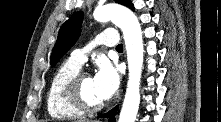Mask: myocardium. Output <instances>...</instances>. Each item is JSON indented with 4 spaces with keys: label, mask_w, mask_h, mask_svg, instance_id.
I'll list each match as a JSON object with an SVG mask.
<instances>
[{
    "label": "myocardium",
    "mask_w": 221,
    "mask_h": 122,
    "mask_svg": "<svg viewBox=\"0 0 221 122\" xmlns=\"http://www.w3.org/2000/svg\"><path fill=\"white\" fill-rule=\"evenodd\" d=\"M90 74L85 71L77 72L66 85V96L69 102L84 113H95L102 110L105 106L104 102L92 104L88 102L82 92V82L84 78Z\"/></svg>",
    "instance_id": "f54148a6"
}]
</instances>
